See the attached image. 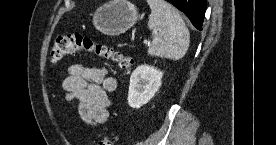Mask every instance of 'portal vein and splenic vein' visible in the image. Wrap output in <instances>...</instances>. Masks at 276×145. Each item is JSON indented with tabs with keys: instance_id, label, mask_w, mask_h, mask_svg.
Wrapping results in <instances>:
<instances>
[{
	"instance_id": "obj_1",
	"label": "portal vein and splenic vein",
	"mask_w": 276,
	"mask_h": 145,
	"mask_svg": "<svg viewBox=\"0 0 276 145\" xmlns=\"http://www.w3.org/2000/svg\"><path fill=\"white\" fill-rule=\"evenodd\" d=\"M143 43H144L145 45H147V44H149V43H150V41H148V40H144V41H143Z\"/></svg>"
}]
</instances>
